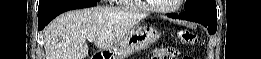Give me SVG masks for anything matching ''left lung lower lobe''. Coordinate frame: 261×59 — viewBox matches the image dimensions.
<instances>
[{"label": "left lung lower lobe", "mask_w": 261, "mask_h": 59, "mask_svg": "<svg viewBox=\"0 0 261 59\" xmlns=\"http://www.w3.org/2000/svg\"><path fill=\"white\" fill-rule=\"evenodd\" d=\"M169 17L198 22L208 29L209 34H214L217 29V14L202 11H186L181 15L170 14Z\"/></svg>", "instance_id": "0a47b994"}]
</instances>
